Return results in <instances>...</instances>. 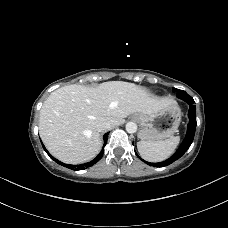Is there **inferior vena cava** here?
Here are the masks:
<instances>
[{"label":"inferior vena cava","instance_id":"602c4592","mask_svg":"<svg viewBox=\"0 0 228 228\" xmlns=\"http://www.w3.org/2000/svg\"><path fill=\"white\" fill-rule=\"evenodd\" d=\"M111 128V124L109 122H101L97 126V130L99 132L109 130Z\"/></svg>","mask_w":228,"mask_h":228}]
</instances>
